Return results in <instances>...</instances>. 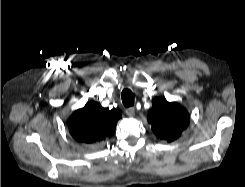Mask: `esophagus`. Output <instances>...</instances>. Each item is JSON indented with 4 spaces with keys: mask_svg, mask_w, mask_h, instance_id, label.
Here are the masks:
<instances>
[{
    "mask_svg": "<svg viewBox=\"0 0 245 187\" xmlns=\"http://www.w3.org/2000/svg\"><path fill=\"white\" fill-rule=\"evenodd\" d=\"M126 114H127L129 117H133V116L135 115V108H134V107L127 108V109H126Z\"/></svg>",
    "mask_w": 245,
    "mask_h": 187,
    "instance_id": "esophagus-1",
    "label": "esophagus"
}]
</instances>
